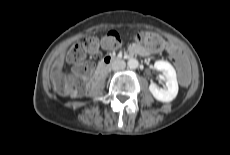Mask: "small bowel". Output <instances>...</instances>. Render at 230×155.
I'll use <instances>...</instances> for the list:
<instances>
[{"label":"small bowel","instance_id":"1","mask_svg":"<svg viewBox=\"0 0 230 155\" xmlns=\"http://www.w3.org/2000/svg\"><path fill=\"white\" fill-rule=\"evenodd\" d=\"M163 47L143 46L138 42H134L130 46V51L138 55H149L159 52Z\"/></svg>","mask_w":230,"mask_h":155}]
</instances>
